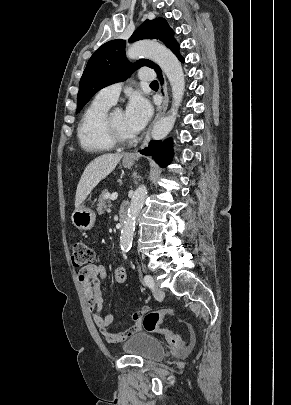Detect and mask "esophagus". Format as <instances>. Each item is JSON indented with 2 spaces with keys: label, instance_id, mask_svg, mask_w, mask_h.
<instances>
[{
  "label": "esophagus",
  "instance_id": "obj_1",
  "mask_svg": "<svg viewBox=\"0 0 291 405\" xmlns=\"http://www.w3.org/2000/svg\"><path fill=\"white\" fill-rule=\"evenodd\" d=\"M168 102H169L168 96H167V94H166L165 91H164V96H163L162 105L160 106V108H159V110H158V112H157L155 118L153 119V121L151 122V124H150V126H149V128H148V130H147L145 139H144V141H143V146L147 145L148 142L150 141L151 129H152L153 125L155 124V122H156L159 118H161V117L164 115V113L166 112L167 107H168Z\"/></svg>",
  "mask_w": 291,
  "mask_h": 405
}]
</instances>
